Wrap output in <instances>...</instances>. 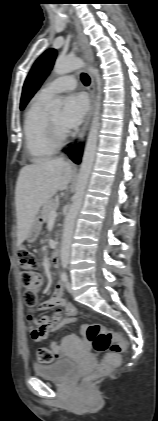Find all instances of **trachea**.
<instances>
[{"label":"trachea","mask_w":158,"mask_h":421,"mask_svg":"<svg viewBox=\"0 0 158 421\" xmlns=\"http://www.w3.org/2000/svg\"><path fill=\"white\" fill-rule=\"evenodd\" d=\"M81 80L83 82L84 85L88 86L90 83V78L86 73H82L81 74Z\"/></svg>","instance_id":"trachea-1"}]
</instances>
